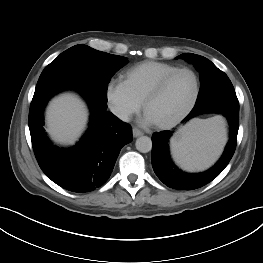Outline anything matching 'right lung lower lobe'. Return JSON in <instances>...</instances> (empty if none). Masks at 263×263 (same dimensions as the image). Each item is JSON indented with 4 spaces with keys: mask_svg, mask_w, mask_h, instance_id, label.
<instances>
[{
    "mask_svg": "<svg viewBox=\"0 0 263 263\" xmlns=\"http://www.w3.org/2000/svg\"><path fill=\"white\" fill-rule=\"evenodd\" d=\"M64 89L33 98L29 111L33 150L42 171L57 185L77 193L90 192L110 177L121 148L132 141V129L108 112L107 105L90 92L71 88L80 92L89 104V128L76 146L56 147L42 127L43 111L48 100Z\"/></svg>",
    "mask_w": 263,
    "mask_h": 263,
    "instance_id": "1",
    "label": "right lung lower lobe"
}]
</instances>
